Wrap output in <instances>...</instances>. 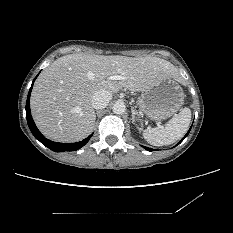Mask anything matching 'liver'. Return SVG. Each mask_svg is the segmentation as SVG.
<instances>
[{
  "label": "liver",
  "mask_w": 233,
  "mask_h": 233,
  "mask_svg": "<svg viewBox=\"0 0 233 233\" xmlns=\"http://www.w3.org/2000/svg\"><path fill=\"white\" fill-rule=\"evenodd\" d=\"M117 74L123 79H110ZM169 78L180 80L178 69L158 57L65 55L36 80L30 100L32 116L47 138L80 141L94 128L96 115L91 100L95 92L117 93L123 87L141 92Z\"/></svg>",
  "instance_id": "liver-1"
}]
</instances>
